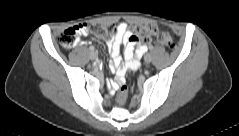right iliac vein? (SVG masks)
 <instances>
[{"instance_id": "obj_1", "label": "right iliac vein", "mask_w": 239, "mask_h": 136, "mask_svg": "<svg viewBox=\"0 0 239 136\" xmlns=\"http://www.w3.org/2000/svg\"><path fill=\"white\" fill-rule=\"evenodd\" d=\"M97 56H98V55H97V53H96L95 51H91V52H90V58H91V59L95 60V59H97Z\"/></svg>"}]
</instances>
